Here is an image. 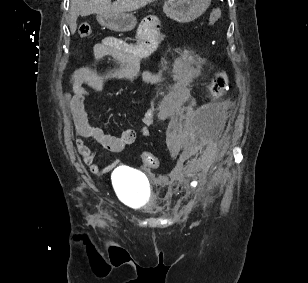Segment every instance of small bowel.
<instances>
[{"instance_id": "obj_1", "label": "small bowel", "mask_w": 308, "mask_h": 283, "mask_svg": "<svg viewBox=\"0 0 308 283\" xmlns=\"http://www.w3.org/2000/svg\"><path fill=\"white\" fill-rule=\"evenodd\" d=\"M139 41L130 44L114 37H106L93 47L95 58H111L118 63V67L100 74L92 67H80L76 69L70 78L73 94L67 93L73 122L78 134L75 145L84 163L94 174L110 172L117 164L112 162L104 167L95 162L96 153L84 141L92 139L107 151L118 153L125 147L134 143L136 132L133 129H124L119 136L106 133L100 127L92 125L86 111V99L89 94L85 86L97 91L105 89L109 84L116 81H131L141 78L143 81L156 84L160 76L141 69V60L152 54L161 41L159 23L156 18L144 20L138 29ZM188 93L184 90H176L166 94L159 102L157 111L160 119H166L179 110L187 101ZM154 111L147 108L140 117V134L150 135V126L153 122Z\"/></svg>"}]
</instances>
